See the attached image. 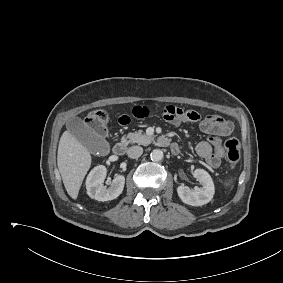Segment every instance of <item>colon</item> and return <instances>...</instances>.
I'll list each match as a JSON object with an SVG mask.
<instances>
[{"label": "colon", "mask_w": 283, "mask_h": 283, "mask_svg": "<svg viewBox=\"0 0 283 283\" xmlns=\"http://www.w3.org/2000/svg\"><path fill=\"white\" fill-rule=\"evenodd\" d=\"M108 121V115L103 110L92 111L86 118V124L99 135H105L107 133ZM224 147L230 168L235 169L241 154L240 143L236 138L231 137L225 141Z\"/></svg>", "instance_id": "1"}]
</instances>
